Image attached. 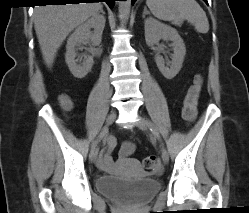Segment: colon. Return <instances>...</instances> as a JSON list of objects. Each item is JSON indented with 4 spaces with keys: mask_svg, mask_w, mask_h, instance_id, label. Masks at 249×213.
Here are the masks:
<instances>
[{
    "mask_svg": "<svg viewBox=\"0 0 249 213\" xmlns=\"http://www.w3.org/2000/svg\"><path fill=\"white\" fill-rule=\"evenodd\" d=\"M202 76L197 75L193 84L188 88L184 97L182 116L186 121H193L197 115V103L202 89ZM60 103L65 110L72 109V102L66 96L60 97ZM143 165L147 170H157L160 166V161L156 156H148L144 159Z\"/></svg>",
    "mask_w": 249,
    "mask_h": 213,
    "instance_id": "1",
    "label": "colon"
}]
</instances>
